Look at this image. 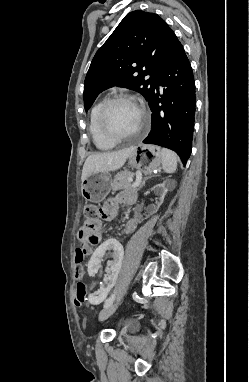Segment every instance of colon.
Segmentation results:
<instances>
[{
    "label": "colon",
    "mask_w": 249,
    "mask_h": 382,
    "mask_svg": "<svg viewBox=\"0 0 249 382\" xmlns=\"http://www.w3.org/2000/svg\"><path fill=\"white\" fill-rule=\"evenodd\" d=\"M83 215L89 222H94L100 215V208H98L95 204H85L83 206ZM88 250L86 247L81 246L77 248L76 250V263L74 265V270L76 271L74 273L75 279H81L83 274V267L81 266V262L87 255ZM87 290L86 285L83 282H78L76 286V298H86Z\"/></svg>",
    "instance_id": "1"
}]
</instances>
